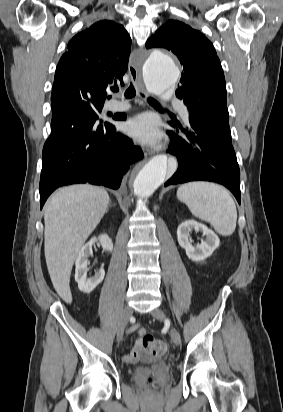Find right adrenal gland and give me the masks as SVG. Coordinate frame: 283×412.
I'll return each instance as SVG.
<instances>
[{
  "instance_id": "2a0ac1e0",
  "label": "right adrenal gland",
  "mask_w": 283,
  "mask_h": 412,
  "mask_svg": "<svg viewBox=\"0 0 283 412\" xmlns=\"http://www.w3.org/2000/svg\"><path fill=\"white\" fill-rule=\"evenodd\" d=\"M111 206H115V204H112V203H111V201H110V203H109V207H111Z\"/></svg>"
}]
</instances>
